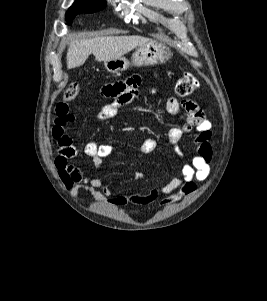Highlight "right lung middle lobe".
Returning a JSON list of instances; mask_svg holds the SVG:
<instances>
[{"instance_id":"obj_1","label":"right lung middle lobe","mask_w":267,"mask_h":301,"mask_svg":"<svg viewBox=\"0 0 267 301\" xmlns=\"http://www.w3.org/2000/svg\"><path fill=\"white\" fill-rule=\"evenodd\" d=\"M105 0H76L66 12V21L70 25L74 17L79 13H93L106 6Z\"/></svg>"}]
</instances>
